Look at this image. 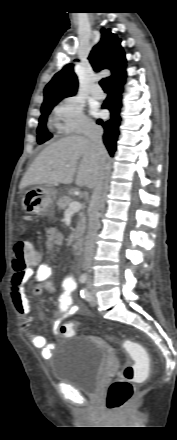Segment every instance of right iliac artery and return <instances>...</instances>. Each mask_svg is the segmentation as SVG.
I'll list each match as a JSON object with an SVG mask.
<instances>
[{"mask_svg":"<svg viewBox=\"0 0 177 440\" xmlns=\"http://www.w3.org/2000/svg\"><path fill=\"white\" fill-rule=\"evenodd\" d=\"M87 280V275L86 274H82L79 278L80 283H85Z\"/></svg>","mask_w":177,"mask_h":440,"instance_id":"obj_1","label":"right iliac artery"}]
</instances>
